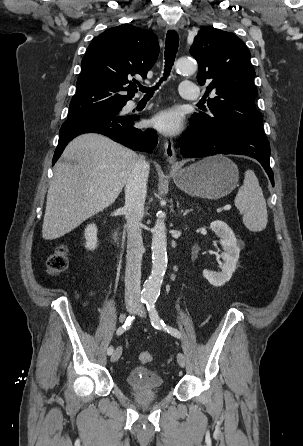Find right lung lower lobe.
Instances as JSON below:
<instances>
[{
	"label": "right lung lower lobe",
	"instance_id": "right-lung-lower-lobe-1",
	"mask_svg": "<svg viewBox=\"0 0 303 446\" xmlns=\"http://www.w3.org/2000/svg\"><path fill=\"white\" fill-rule=\"evenodd\" d=\"M139 116H121L118 113L92 111L68 117L59 131L52 165L58 160L65 146L76 136L83 133H99L133 150L152 153L157 144V135L153 130L135 128L134 122Z\"/></svg>",
	"mask_w": 303,
	"mask_h": 446
}]
</instances>
